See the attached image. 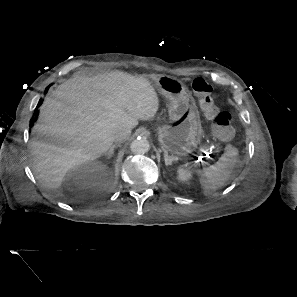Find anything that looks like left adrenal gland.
<instances>
[{
    "label": "left adrenal gland",
    "mask_w": 297,
    "mask_h": 297,
    "mask_svg": "<svg viewBox=\"0 0 297 297\" xmlns=\"http://www.w3.org/2000/svg\"><path fill=\"white\" fill-rule=\"evenodd\" d=\"M164 159H165V164L166 165H172L174 161H176V158L173 156H168V153L164 151Z\"/></svg>",
    "instance_id": "left-adrenal-gland-1"
}]
</instances>
